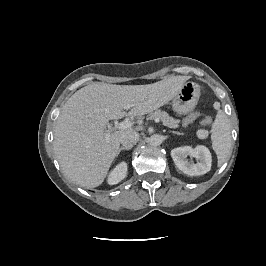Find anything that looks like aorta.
Returning <instances> with one entry per match:
<instances>
[{
    "label": "aorta",
    "mask_w": 266,
    "mask_h": 266,
    "mask_svg": "<svg viewBox=\"0 0 266 266\" xmlns=\"http://www.w3.org/2000/svg\"><path fill=\"white\" fill-rule=\"evenodd\" d=\"M163 139L162 136L158 134H154L150 136L148 142L151 146H159L162 143Z\"/></svg>",
    "instance_id": "762f6f07"
}]
</instances>
